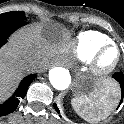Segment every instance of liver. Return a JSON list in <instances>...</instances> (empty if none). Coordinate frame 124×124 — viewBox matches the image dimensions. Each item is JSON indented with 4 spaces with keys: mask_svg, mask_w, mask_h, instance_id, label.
<instances>
[{
    "mask_svg": "<svg viewBox=\"0 0 124 124\" xmlns=\"http://www.w3.org/2000/svg\"><path fill=\"white\" fill-rule=\"evenodd\" d=\"M67 34L56 27L35 26L12 36L8 46L0 52V101L9 93L17 79L35 70L30 60H39L40 67L54 54L66 50Z\"/></svg>",
    "mask_w": 124,
    "mask_h": 124,
    "instance_id": "1",
    "label": "liver"
}]
</instances>
